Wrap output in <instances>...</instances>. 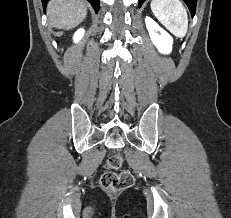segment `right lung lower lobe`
Instances as JSON below:
<instances>
[{
  "label": "right lung lower lobe",
  "mask_w": 231,
  "mask_h": 218,
  "mask_svg": "<svg viewBox=\"0 0 231 218\" xmlns=\"http://www.w3.org/2000/svg\"><path fill=\"white\" fill-rule=\"evenodd\" d=\"M49 0H42L43 5L45 6ZM92 5L96 13L99 11V2L100 0H87Z\"/></svg>",
  "instance_id": "obj_1"
}]
</instances>
